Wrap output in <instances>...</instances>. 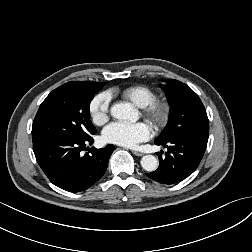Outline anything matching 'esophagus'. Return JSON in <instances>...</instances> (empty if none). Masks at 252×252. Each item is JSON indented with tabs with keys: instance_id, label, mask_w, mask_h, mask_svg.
Segmentation results:
<instances>
[{
	"instance_id": "1",
	"label": "esophagus",
	"mask_w": 252,
	"mask_h": 252,
	"mask_svg": "<svg viewBox=\"0 0 252 252\" xmlns=\"http://www.w3.org/2000/svg\"><path fill=\"white\" fill-rule=\"evenodd\" d=\"M132 153L136 156H143L142 152L136 151V150H132Z\"/></svg>"
}]
</instances>
